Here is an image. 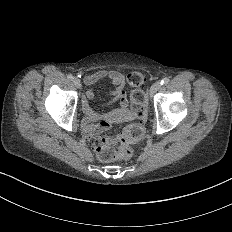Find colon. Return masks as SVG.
I'll list each match as a JSON object with an SVG mask.
<instances>
[{"label": "colon", "mask_w": 232, "mask_h": 232, "mask_svg": "<svg viewBox=\"0 0 232 232\" xmlns=\"http://www.w3.org/2000/svg\"><path fill=\"white\" fill-rule=\"evenodd\" d=\"M145 71H132L129 75L131 87L130 94L133 96V111L137 115H144L148 111V104L144 93V87L148 86V81H143ZM142 138V130L137 125H132L126 130L117 133L105 134L98 132L94 135L92 145L96 157L101 162H116L120 158V151L124 146L135 144Z\"/></svg>", "instance_id": "5ec220e1"}]
</instances>
